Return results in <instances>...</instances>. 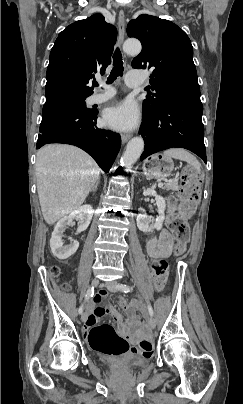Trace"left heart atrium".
Returning <instances> with one entry per match:
<instances>
[{"label":"left heart atrium","mask_w":243,"mask_h":404,"mask_svg":"<svg viewBox=\"0 0 243 404\" xmlns=\"http://www.w3.org/2000/svg\"><path fill=\"white\" fill-rule=\"evenodd\" d=\"M104 123L115 130H131L138 122V114L134 106L128 102L109 107L103 114Z\"/></svg>","instance_id":"1"}]
</instances>
